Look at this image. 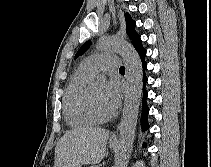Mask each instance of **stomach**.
<instances>
[{
	"label": "stomach",
	"instance_id": "obj_1",
	"mask_svg": "<svg viewBox=\"0 0 211 167\" xmlns=\"http://www.w3.org/2000/svg\"><path fill=\"white\" fill-rule=\"evenodd\" d=\"M109 146L111 147V148H116V144H114V143H112V142H109Z\"/></svg>",
	"mask_w": 211,
	"mask_h": 167
}]
</instances>
